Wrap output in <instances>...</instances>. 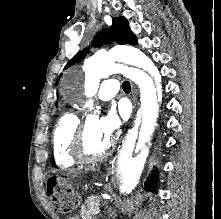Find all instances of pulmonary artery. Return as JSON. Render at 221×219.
Listing matches in <instances>:
<instances>
[{
  "instance_id": "1",
  "label": "pulmonary artery",
  "mask_w": 221,
  "mask_h": 219,
  "mask_svg": "<svg viewBox=\"0 0 221 219\" xmlns=\"http://www.w3.org/2000/svg\"><path fill=\"white\" fill-rule=\"evenodd\" d=\"M119 86L115 82V79L112 77L106 78L99 90H98V98L101 100H110L118 93Z\"/></svg>"
}]
</instances>
